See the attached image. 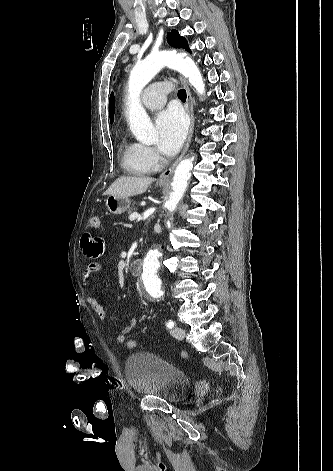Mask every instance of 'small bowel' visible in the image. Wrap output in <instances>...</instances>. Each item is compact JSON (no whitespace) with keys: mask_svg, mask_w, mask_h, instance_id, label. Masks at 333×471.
<instances>
[{"mask_svg":"<svg viewBox=\"0 0 333 471\" xmlns=\"http://www.w3.org/2000/svg\"><path fill=\"white\" fill-rule=\"evenodd\" d=\"M81 247L84 254L91 258H97L103 249L102 240L98 237H93L91 234L86 233L83 235L81 240ZM102 267L96 261H91L82 275V284L86 288H91L93 286V280L95 275L101 272ZM89 303L95 310L99 320L101 322H106L107 312L104 307L99 303V301L94 296H89ZM138 319L133 317L130 319L128 325L123 327L121 333L116 337V342L119 344H125L127 341L126 335L129 334L134 328L138 325Z\"/></svg>","mask_w":333,"mask_h":471,"instance_id":"small-bowel-1","label":"small bowel"}]
</instances>
